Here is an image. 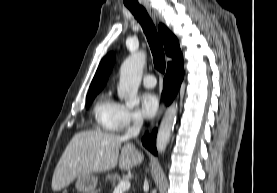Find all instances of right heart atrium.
<instances>
[{"label":"right heart atrium","mask_w":277,"mask_h":193,"mask_svg":"<svg viewBox=\"0 0 277 193\" xmlns=\"http://www.w3.org/2000/svg\"><path fill=\"white\" fill-rule=\"evenodd\" d=\"M142 122L141 115L128 107L120 106L118 113V129L126 130Z\"/></svg>","instance_id":"right-heart-atrium-1"}]
</instances>
